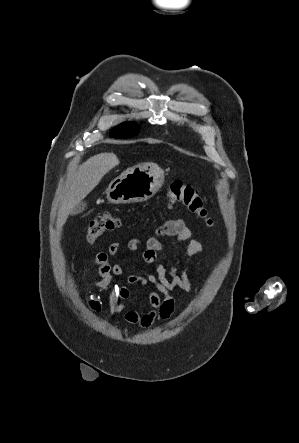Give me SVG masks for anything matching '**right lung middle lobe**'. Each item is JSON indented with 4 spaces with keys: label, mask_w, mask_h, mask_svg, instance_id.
Listing matches in <instances>:
<instances>
[{
    "label": "right lung middle lobe",
    "mask_w": 299,
    "mask_h": 443,
    "mask_svg": "<svg viewBox=\"0 0 299 443\" xmlns=\"http://www.w3.org/2000/svg\"><path fill=\"white\" fill-rule=\"evenodd\" d=\"M138 133V126L134 122H125L110 131L111 137L129 138Z\"/></svg>",
    "instance_id": "1"
}]
</instances>
